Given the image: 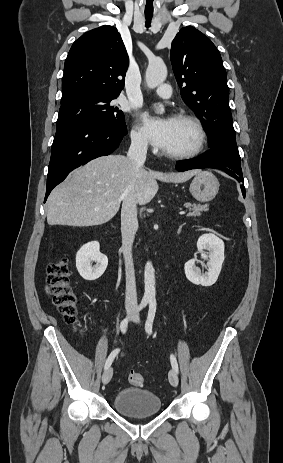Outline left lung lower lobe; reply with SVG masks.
I'll use <instances>...</instances> for the list:
<instances>
[{
	"instance_id": "1",
	"label": "left lung lower lobe",
	"mask_w": 283,
	"mask_h": 463,
	"mask_svg": "<svg viewBox=\"0 0 283 463\" xmlns=\"http://www.w3.org/2000/svg\"><path fill=\"white\" fill-rule=\"evenodd\" d=\"M198 168H218L225 171L228 175L234 177L239 182L243 183L244 181L242 177H237L235 175L236 173L239 176H242L240 157L234 156L222 149L211 148L197 158L178 161L176 163V170L178 171ZM241 189L242 194L245 197V188L243 185H241Z\"/></svg>"
}]
</instances>
